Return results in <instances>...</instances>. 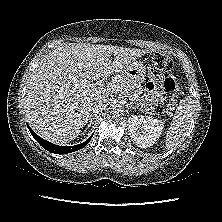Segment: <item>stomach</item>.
Instances as JSON below:
<instances>
[{
  "label": "stomach",
  "instance_id": "obj_1",
  "mask_svg": "<svg viewBox=\"0 0 222 222\" xmlns=\"http://www.w3.org/2000/svg\"><path fill=\"white\" fill-rule=\"evenodd\" d=\"M146 68L141 62H134L124 70L122 78L129 80L136 85H140L145 80Z\"/></svg>",
  "mask_w": 222,
  "mask_h": 222
}]
</instances>
